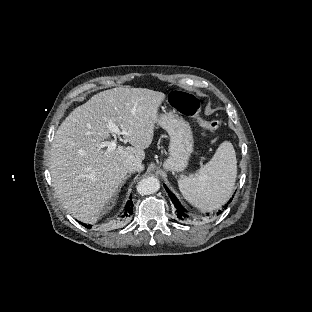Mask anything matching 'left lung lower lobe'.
<instances>
[{
  "mask_svg": "<svg viewBox=\"0 0 312 312\" xmlns=\"http://www.w3.org/2000/svg\"><path fill=\"white\" fill-rule=\"evenodd\" d=\"M164 187H165L167 193L169 194V196H170L172 202L174 203V205H175V207H176V209H177V210H176V212H177V217H178L180 220H185L186 218H188L189 216H188V214H187L186 209H184V208L182 207V205L180 204V202L178 201V199L175 197V195H174L166 186H164ZM230 201H231V200H230ZM227 205H228V204H226V205L224 206L225 209H226ZM221 212H222V211H219V212L217 213V215L220 214Z\"/></svg>",
  "mask_w": 312,
  "mask_h": 312,
  "instance_id": "0a47b994",
  "label": "left lung lower lobe"
}]
</instances>
